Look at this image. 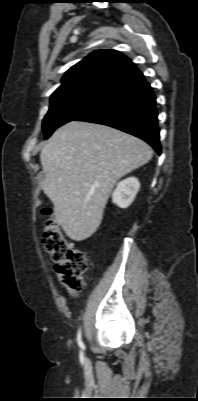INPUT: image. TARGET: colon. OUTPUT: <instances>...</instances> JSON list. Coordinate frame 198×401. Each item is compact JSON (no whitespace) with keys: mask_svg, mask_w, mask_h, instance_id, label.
I'll list each match as a JSON object with an SVG mask.
<instances>
[{"mask_svg":"<svg viewBox=\"0 0 198 401\" xmlns=\"http://www.w3.org/2000/svg\"><path fill=\"white\" fill-rule=\"evenodd\" d=\"M42 243L56 263L55 271L61 283L72 295H77L84 287L83 276L88 269L85 253L64 237L57 220L52 217L44 222Z\"/></svg>","mask_w":198,"mask_h":401,"instance_id":"obj_1","label":"colon"}]
</instances>
